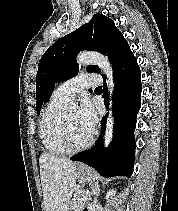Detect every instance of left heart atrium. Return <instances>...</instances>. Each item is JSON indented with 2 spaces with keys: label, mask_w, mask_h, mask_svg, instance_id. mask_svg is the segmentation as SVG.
<instances>
[{
  "label": "left heart atrium",
  "mask_w": 178,
  "mask_h": 211,
  "mask_svg": "<svg viewBox=\"0 0 178 211\" xmlns=\"http://www.w3.org/2000/svg\"><path fill=\"white\" fill-rule=\"evenodd\" d=\"M79 121L86 130L93 133L97 124V112L94 105L88 99L84 100L81 105Z\"/></svg>",
  "instance_id": "obj_1"
}]
</instances>
